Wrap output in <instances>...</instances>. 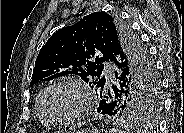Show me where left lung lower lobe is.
<instances>
[{
    "label": "left lung lower lobe",
    "mask_w": 184,
    "mask_h": 133,
    "mask_svg": "<svg viewBox=\"0 0 184 133\" xmlns=\"http://www.w3.org/2000/svg\"><path fill=\"white\" fill-rule=\"evenodd\" d=\"M115 77L118 80V83L116 85H112L110 90H107L106 88L104 90H101L97 93V96L101 98L99 107L97 108V111L100 114L103 115H109V116H116L117 113V99L120 97L121 93L123 92L124 88L127 85V81L125 78V73L123 70L117 67V71H115ZM111 98H113V101H109ZM141 121H137L134 123H141ZM133 123V122H130Z\"/></svg>",
    "instance_id": "obj_1"
}]
</instances>
